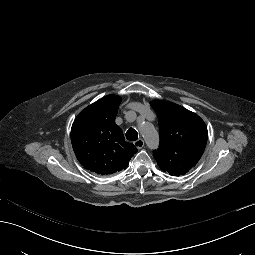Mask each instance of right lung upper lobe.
Wrapping results in <instances>:
<instances>
[{
    "instance_id": "1",
    "label": "right lung upper lobe",
    "mask_w": 255,
    "mask_h": 255,
    "mask_svg": "<svg viewBox=\"0 0 255 255\" xmlns=\"http://www.w3.org/2000/svg\"><path fill=\"white\" fill-rule=\"evenodd\" d=\"M121 98L108 95L85 108L74 120L71 142L84 168L100 175H109L126 169L137 152L125 141L115 118Z\"/></svg>"
}]
</instances>
